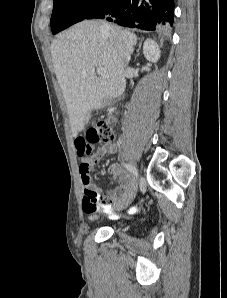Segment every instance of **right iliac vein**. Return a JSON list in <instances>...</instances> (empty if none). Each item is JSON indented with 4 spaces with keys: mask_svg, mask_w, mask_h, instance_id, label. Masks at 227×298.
I'll return each mask as SVG.
<instances>
[{
    "mask_svg": "<svg viewBox=\"0 0 227 298\" xmlns=\"http://www.w3.org/2000/svg\"><path fill=\"white\" fill-rule=\"evenodd\" d=\"M135 192H136V187H135V190L132 191V192L130 193V195H129L124 201H122L121 203L116 204L115 207H116L117 209H121V208H123V207L128 206V205L132 202V200H133V198H134V196H135Z\"/></svg>",
    "mask_w": 227,
    "mask_h": 298,
    "instance_id": "63e3f726",
    "label": "right iliac vein"
}]
</instances>
